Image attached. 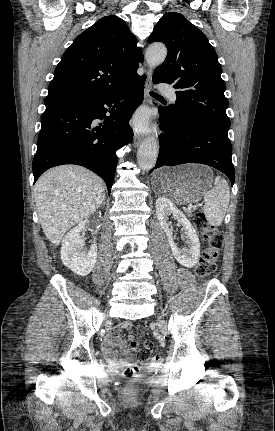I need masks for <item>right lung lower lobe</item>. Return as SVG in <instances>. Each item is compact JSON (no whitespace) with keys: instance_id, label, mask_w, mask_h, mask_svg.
I'll use <instances>...</instances> for the list:
<instances>
[{"instance_id":"1","label":"right lung lower lobe","mask_w":275,"mask_h":431,"mask_svg":"<svg viewBox=\"0 0 275 431\" xmlns=\"http://www.w3.org/2000/svg\"><path fill=\"white\" fill-rule=\"evenodd\" d=\"M145 80L139 76L117 92L46 107L32 164L34 183L53 166L77 164L99 175L110 194L116 151L133 140L129 119L143 101Z\"/></svg>"}]
</instances>
